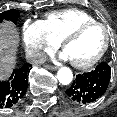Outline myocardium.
<instances>
[{"instance_id": "1", "label": "myocardium", "mask_w": 117, "mask_h": 117, "mask_svg": "<svg viewBox=\"0 0 117 117\" xmlns=\"http://www.w3.org/2000/svg\"><path fill=\"white\" fill-rule=\"evenodd\" d=\"M95 26L101 27L105 31L104 45H103L102 49L98 52V54L87 62L79 63V62L71 61L72 65L78 69H88V68L94 66L96 63H98L103 58V56L106 54L107 50L109 49V46H110V43L112 40V35L110 32V29L108 28L107 25H105L101 22H98V21L87 22V23L79 25L78 27H76L75 29L70 31L62 39V43H61L62 48L65 51V48L68 43H70L71 41L78 38L87 29H89L91 27H95Z\"/></svg>"}]
</instances>
